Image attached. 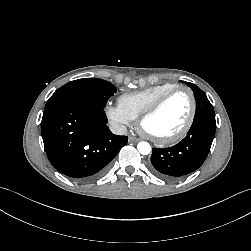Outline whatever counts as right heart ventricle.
Here are the masks:
<instances>
[{"label":"right heart ventricle","instance_id":"right-heart-ventricle-1","mask_svg":"<svg viewBox=\"0 0 251 251\" xmlns=\"http://www.w3.org/2000/svg\"><path fill=\"white\" fill-rule=\"evenodd\" d=\"M176 86L173 83H163L141 91L126 93L119 97L118 105L132 120L137 119L161 95Z\"/></svg>","mask_w":251,"mask_h":251}]
</instances>
